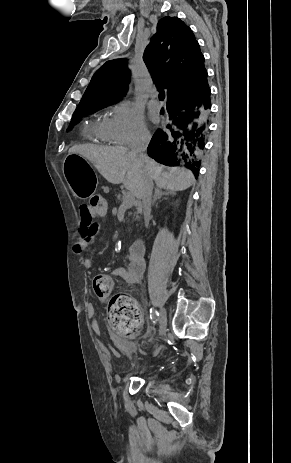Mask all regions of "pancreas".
Returning <instances> with one entry per match:
<instances>
[{
    "label": "pancreas",
    "mask_w": 291,
    "mask_h": 463,
    "mask_svg": "<svg viewBox=\"0 0 291 463\" xmlns=\"http://www.w3.org/2000/svg\"><path fill=\"white\" fill-rule=\"evenodd\" d=\"M116 197H117L118 200H121V198H123V197L121 196V194H119V193L116 194Z\"/></svg>",
    "instance_id": "cf45deb5"
}]
</instances>
